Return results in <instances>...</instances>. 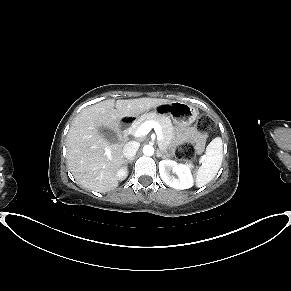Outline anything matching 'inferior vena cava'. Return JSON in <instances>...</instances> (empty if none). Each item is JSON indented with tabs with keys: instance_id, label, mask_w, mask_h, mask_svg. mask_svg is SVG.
Masks as SVG:
<instances>
[{
	"instance_id": "inferior-vena-cava-1",
	"label": "inferior vena cava",
	"mask_w": 291,
	"mask_h": 291,
	"mask_svg": "<svg viewBox=\"0 0 291 291\" xmlns=\"http://www.w3.org/2000/svg\"><path fill=\"white\" fill-rule=\"evenodd\" d=\"M139 143L135 141H130L125 144L123 148V155L126 158H133L136 155V152L138 151L139 148Z\"/></svg>"
}]
</instances>
